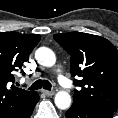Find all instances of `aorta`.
Returning <instances> with one entry per match:
<instances>
[{
    "label": "aorta",
    "instance_id": "aorta-1",
    "mask_svg": "<svg viewBox=\"0 0 118 118\" xmlns=\"http://www.w3.org/2000/svg\"><path fill=\"white\" fill-rule=\"evenodd\" d=\"M36 61L45 67H52L56 62L54 52L47 47H40L35 51ZM54 102L57 108L66 110L71 105V96L67 91H58L54 97Z\"/></svg>",
    "mask_w": 118,
    "mask_h": 118
}]
</instances>
